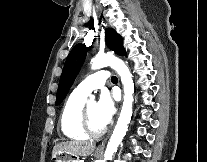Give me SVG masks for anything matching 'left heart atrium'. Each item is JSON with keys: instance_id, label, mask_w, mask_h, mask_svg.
<instances>
[{"instance_id": "39dd6f15", "label": "left heart atrium", "mask_w": 207, "mask_h": 162, "mask_svg": "<svg viewBox=\"0 0 207 162\" xmlns=\"http://www.w3.org/2000/svg\"><path fill=\"white\" fill-rule=\"evenodd\" d=\"M98 111L103 125L106 126L109 124L115 114L116 105L113 95L108 91H103L101 93L98 102Z\"/></svg>"}]
</instances>
